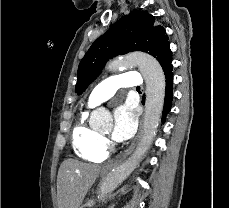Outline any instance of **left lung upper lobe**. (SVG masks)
Instances as JSON below:
<instances>
[{
	"mask_svg": "<svg viewBox=\"0 0 229 208\" xmlns=\"http://www.w3.org/2000/svg\"><path fill=\"white\" fill-rule=\"evenodd\" d=\"M132 51L154 56L162 68L172 60L165 28L155 24V18L145 11H132L119 19L90 47L78 67L75 92L81 95L100 74L108 59Z\"/></svg>",
	"mask_w": 229,
	"mask_h": 208,
	"instance_id": "left-lung-upper-lobe-1",
	"label": "left lung upper lobe"
}]
</instances>
